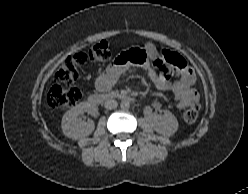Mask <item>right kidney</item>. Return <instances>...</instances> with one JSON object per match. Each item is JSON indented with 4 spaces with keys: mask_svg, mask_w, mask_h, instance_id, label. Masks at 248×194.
<instances>
[{
    "mask_svg": "<svg viewBox=\"0 0 248 194\" xmlns=\"http://www.w3.org/2000/svg\"><path fill=\"white\" fill-rule=\"evenodd\" d=\"M88 112L95 116L98 114V107L88 102H82L68 110L61 122L63 134L75 140L90 135L95 128L92 120L83 121L78 118L80 114Z\"/></svg>",
    "mask_w": 248,
    "mask_h": 194,
    "instance_id": "1",
    "label": "right kidney"
}]
</instances>
